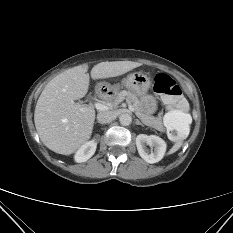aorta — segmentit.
<instances>
[{
    "label": "aorta",
    "instance_id": "762f6f07",
    "mask_svg": "<svg viewBox=\"0 0 233 233\" xmlns=\"http://www.w3.org/2000/svg\"><path fill=\"white\" fill-rule=\"evenodd\" d=\"M119 121L123 126H128L132 122V117L128 113L121 114L119 117Z\"/></svg>",
    "mask_w": 233,
    "mask_h": 233
}]
</instances>
